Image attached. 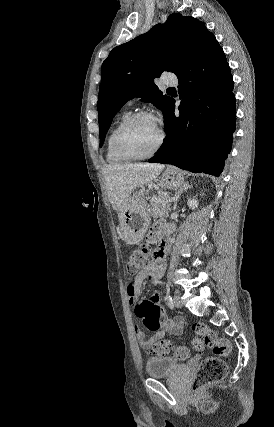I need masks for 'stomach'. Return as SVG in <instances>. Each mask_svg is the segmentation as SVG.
I'll list each match as a JSON object with an SVG mask.
<instances>
[{"mask_svg":"<svg viewBox=\"0 0 274 427\" xmlns=\"http://www.w3.org/2000/svg\"><path fill=\"white\" fill-rule=\"evenodd\" d=\"M156 182L158 186L168 188V190H178L187 184L184 172L174 166H167V170ZM144 192H148V190L142 188L138 192V196L129 202V206H121L118 210L119 231L127 243H139L151 223L147 204L143 200Z\"/></svg>","mask_w":274,"mask_h":427,"instance_id":"0dacf381","label":"stomach"}]
</instances>
